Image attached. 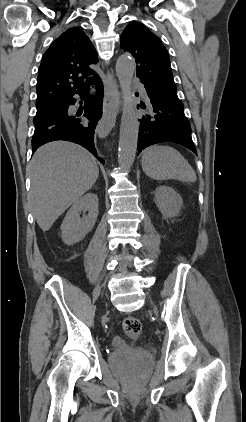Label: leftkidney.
I'll return each instance as SVG.
<instances>
[{
  "label": "left kidney",
  "instance_id": "5707ae66",
  "mask_svg": "<svg viewBox=\"0 0 246 422\" xmlns=\"http://www.w3.org/2000/svg\"><path fill=\"white\" fill-rule=\"evenodd\" d=\"M154 201L166 218L179 215L183 206L182 197L172 187L165 185L156 188Z\"/></svg>",
  "mask_w": 246,
  "mask_h": 422
}]
</instances>
